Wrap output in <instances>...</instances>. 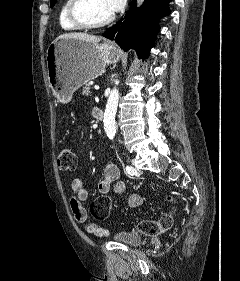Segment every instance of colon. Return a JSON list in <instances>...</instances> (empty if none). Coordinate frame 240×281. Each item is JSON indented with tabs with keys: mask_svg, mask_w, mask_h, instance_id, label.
I'll return each instance as SVG.
<instances>
[{
	"mask_svg": "<svg viewBox=\"0 0 240 281\" xmlns=\"http://www.w3.org/2000/svg\"><path fill=\"white\" fill-rule=\"evenodd\" d=\"M58 166L63 171H74L76 169V155L69 147H64L58 156ZM169 201L176 202L172 196L167 197ZM111 199L108 196H99L90 204V211L93 217L99 221H105L109 217ZM176 219V211L170 210L164 214L158 221L143 220L139 223L138 229L147 235H156L170 229Z\"/></svg>",
	"mask_w": 240,
	"mask_h": 281,
	"instance_id": "obj_1",
	"label": "colon"
}]
</instances>
